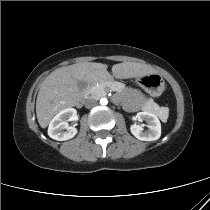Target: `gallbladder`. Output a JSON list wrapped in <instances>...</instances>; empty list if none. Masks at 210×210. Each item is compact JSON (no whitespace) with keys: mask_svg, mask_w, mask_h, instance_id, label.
Returning <instances> with one entry per match:
<instances>
[{"mask_svg":"<svg viewBox=\"0 0 210 210\" xmlns=\"http://www.w3.org/2000/svg\"><path fill=\"white\" fill-rule=\"evenodd\" d=\"M78 86L81 90L85 89L87 84L84 81H78Z\"/></svg>","mask_w":210,"mask_h":210,"instance_id":"1","label":"gallbladder"}]
</instances>
